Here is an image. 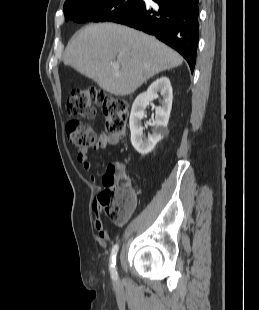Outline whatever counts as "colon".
<instances>
[{
  "mask_svg": "<svg viewBox=\"0 0 259 310\" xmlns=\"http://www.w3.org/2000/svg\"><path fill=\"white\" fill-rule=\"evenodd\" d=\"M101 108L107 134L120 138L124 135L129 105L126 100L112 97L95 88H78L71 92L67 100L68 121L67 137L77 147H95L98 137L87 122ZM104 189L96 199L98 208L114 224L123 223L131 214L136 204L132 191L122 167L111 164L103 176Z\"/></svg>",
  "mask_w": 259,
  "mask_h": 310,
  "instance_id": "colon-1",
  "label": "colon"
}]
</instances>
